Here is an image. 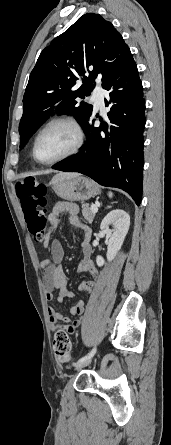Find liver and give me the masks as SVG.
<instances>
[{
    "label": "liver",
    "instance_id": "1",
    "mask_svg": "<svg viewBox=\"0 0 171 445\" xmlns=\"http://www.w3.org/2000/svg\"><path fill=\"white\" fill-rule=\"evenodd\" d=\"M73 175H77V174H64V173H60L58 176H73Z\"/></svg>",
    "mask_w": 171,
    "mask_h": 445
}]
</instances>
